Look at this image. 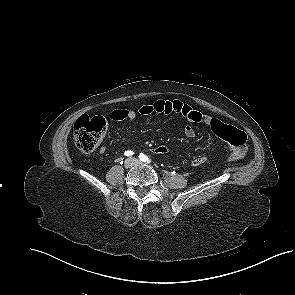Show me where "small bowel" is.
I'll return each mask as SVG.
<instances>
[{
    "mask_svg": "<svg viewBox=\"0 0 295 295\" xmlns=\"http://www.w3.org/2000/svg\"><path fill=\"white\" fill-rule=\"evenodd\" d=\"M138 113L141 115H149L152 113L180 114L190 123H201L207 125L216 135H218L216 131V124L222 123L217 118L201 113L200 111L193 109L190 105L179 100H156L150 104L142 105L139 108ZM136 117L137 112L132 109H112L109 112V118L117 121H133ZM184 134L188 138H194L196 136V130L192 124L185 127ZM105 150V147H101L100 153H104ZM205 162V156H198L191 161V165L193 167H198L203 165Z\"/></svg>",
    "mask_w": 295,
    "mask_h": 295,
    "instance_id": "small-bowel-1",
    "label": "small bowel"
}]
</instances>
